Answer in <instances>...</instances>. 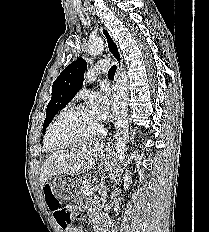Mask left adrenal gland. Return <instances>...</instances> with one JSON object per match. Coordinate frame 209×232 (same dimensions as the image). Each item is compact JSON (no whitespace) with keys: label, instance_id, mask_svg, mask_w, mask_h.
<instances>
[{"label":"left adrenal gland","instance_id":"1","mask_svg":"<svg viewBox=\"0 0 209 232\" xmlns=\"http://www.w3.org/2000/svg\"><path fill=\"white\" fill-rule=\"evenodd\" d=\"M101 188H102V192L105 194V193H106V191H105V189H106L105 186L102 185ZM105 198H106V197H103V199H105Z\"/></svg>","mask_w":209,"mask_h":232}]
</instances>
